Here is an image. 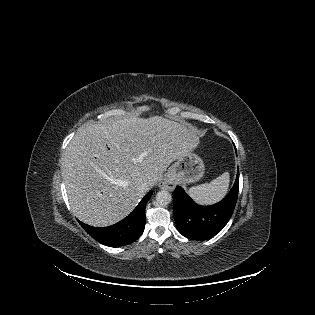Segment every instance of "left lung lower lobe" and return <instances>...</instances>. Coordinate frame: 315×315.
Here are the masks:
<instances>
[{
  "instance_id": "0a47b994",
  "label": "left lung lower lobe",
  "mask_w": 315,
  "mask_h": 315,
  "mask_svg": "<svg viewBox=\"0 0 315 315\" xmlns=\"http://www.w3.org/2000/svg\"><path fill=\"white\" fill-rule=\"evenodd\" d=\"M239 191V170L233 188L220 202L197 205L177 186L173 193L174 219L178 231L188 239L206 240L218 234L234 211Z\"/></svg>"
}]
</instances>
